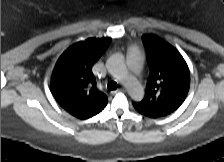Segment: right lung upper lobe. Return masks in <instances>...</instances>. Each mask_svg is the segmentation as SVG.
<instances>
[{"label":"right lung upper lobe","mask_w":224,"mask_h":162,"mask_svg":"<svg viewBox=\"0 0 224 162\" xmlns=\"http://www.w3.org/2000/svg\"><path fill=\"white\" fill-rule=\"evenodd\" d=\"M109 37L89 38L71 45L59 57L53 70L51 91L71 115L88 119L101 112L108 100L96 87L92 66L103 54Z\"/></svg>","instance_id":"1"}]
</instances>
